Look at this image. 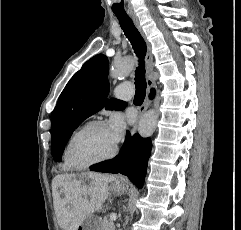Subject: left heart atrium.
Listing matches in <instances>:
<instances>
[{
	"instance_id": "left-heart-atrium-1",
	"label": "left heart atrium",
	"mask_w": 241,
	"mask_h": 230,
	"mask_svg": "<svg viewBox=\"0 0 241 230\" xmlns=\"http://www.w3.org/2000/svg\"><path fill=\"white\" fill-rule=\"evenodd\" d=\"M106 127L112 141L117 144L124 136L126 128L124 117L119 113L113 114Z\"/></svg>"
}]
</instances>
